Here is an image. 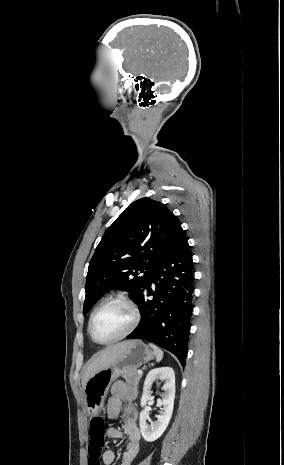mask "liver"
<instances>
[{"label":"liver","instance_id":"6515ba94","mask_svg":"<svg viewBox=\"0 0 284 465\" xmlns=\"http://www.w3.org/2000/svg\"><path fill=\"white\" fill-rule=\"evenodd\" d=\"M130 341H123V343H117V345H112V347H107L105 351L99 353L98 357H93L91 361H89V365L85 367L83 377H82V387L85 389V385L87 381H89L92 375L101 371V369H106L112 363L117 361L119 355H122L124 351H126V347H128Z\"/></svg>","mask_w":284,"mask_h":465}]
</instances>
